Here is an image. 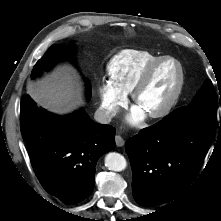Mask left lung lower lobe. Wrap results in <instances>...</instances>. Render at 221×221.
<instances>
[{"instance_id":"left-lung-lower-lobe-1","label":"left lung lower lobe","mask_w":221,"mask_h":221,"mask_svg":"<svg viewBox=\"0 0 221 221\" xmlns=\"http://www.w3.org/2000/svg\"><path fill=\"white\" fill-rule=\"evenodd\" d=\"M216 129L178 127L163 118L126 142L133 172L132 192L142 206L171 202L203 163Z\"/></svg>"}]
</instances>
